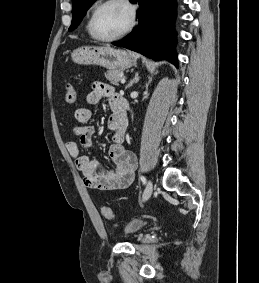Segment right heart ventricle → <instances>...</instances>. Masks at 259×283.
Here are the masks:
<instances>
[{"label": "right heart ventricle", "instance_id": "obj_1", "mask_svg": "<svg viewBox=\"0 0 259 283\" xmlns=\"http://www.w3.org/2000/svg\"><path fill=\"white\" fill-rule=\"evenodd\" d=\"M88 24H89V21L87 22V31H88V34L90 35L89 29H88Z\"/></svg>", "mask_w": 259, "mask_h": 283}]
</instances>
